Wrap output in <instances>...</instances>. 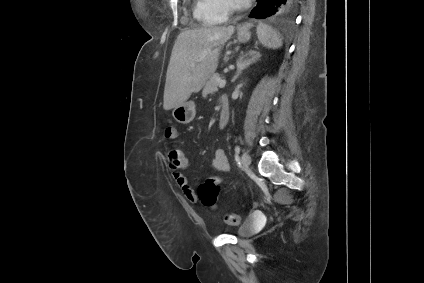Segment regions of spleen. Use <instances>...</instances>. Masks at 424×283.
<instances>
[{"label":"spleen","instance_id":"1","mask_svg":"<svg viewBox=\"0 0 424 283\" xmlns=\"http://www.w3.org/2000/svg\"><path fill=\"white\" fill-rule=\"evenodd\" d=\"M259 41L265 47L277 49L282 46L280 35L270 26L260 24L257 29Z\"/></svg>","mask_w":424,"mask_h":283}]
</instances>
